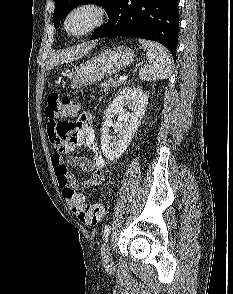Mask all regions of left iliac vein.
I'll use <instances>...</instances> for the list:
<instances>
[{
	"instance_id": "obj_1",
	"label": "left iliac vein",
	"mask_w": 233,
	"mask_h": 294,
	"mask_svg": "<svg viewBox=\"0 0 233 294\" xmlns=\"http://www.w3.org/2000/svg\"><path fill=\"white\" fill-rule=\"evenodd\" d=\"M102 260L105 267H111L113 265V259L108 240L105 241L102 247Z\"/></svg>"
}]
</instances>
